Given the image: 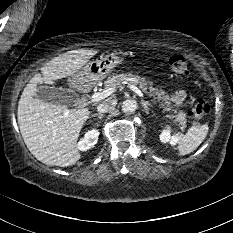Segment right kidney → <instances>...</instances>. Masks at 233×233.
Returning a JSON list of instances; mask_svg holds the SVG:
<instances>
[{"mask_svg": "<svg viewBox=\"0 0 233 233\" xmlns=\"http://www.w3.org/2000/svg\"><path fill=\"white\" fill-rule=\"evenodd\" d=\"M98 136H99L98 130L93 129L91 131H88L87 133H85L84 138H82L78 142L77 144L78 149L81 151H86L90 149L97 143Z\"/></svg>", "mask_w": 233, "mask_h": 233, "instance_id": "obj_1", "label": "right kidney"}]
</instances>
